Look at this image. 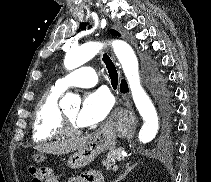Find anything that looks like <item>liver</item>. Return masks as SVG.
Segmentation results:
<instances>
[{
    "label": "liver",
    "mask_w": 211,
    "mask_h": 182,
    "mask_svg": "<svg viewBox=\"0 0 211 182\" xmlns=\"http://www.w3.org/2000/svg\"><path fill=\"white\" fill-rule=\"evenodd\" d=\"M92 137L91 134L73 138L65 141H57L52 143H44L35 147V149L42 153L48 154H67L81 149Z\"/></svg>",
    "instance_id": "liver-1"
}]
</instances>
